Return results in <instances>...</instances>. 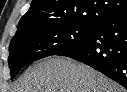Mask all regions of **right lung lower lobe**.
<instances>
[{
	"mask_svg": "<svg viewBox=\"0 0 127 92\" xmlns=\"http://www.w3.org/2000/svg\"><path fill=\"white\" fill-rule=\"evenodd\" d=\"M56 55L85 63L127 89V13L95 26L89 38Z\"/></svg>",
	"mask_w": 127,
	"mask_h": 92,
	"instance_id": "98d812e1",
	"label": "right lung lower lobe"
}]
</instances>
